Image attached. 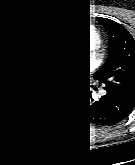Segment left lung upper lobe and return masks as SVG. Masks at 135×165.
I'll use <instances>...</instances> for the list:
<instances>
[{
    "mask_svg": "<svg viewBox=\"0 0 135 165\" xmlns=\"http://www.w3.org/2000/svg\"><path fill=\"white\" fill-rule=\"evenodd\" d=\"M107 34L108 57L95 74L105 89L120 93L135 104V40L119 23L98 18Z\"/></svg>",
    "mask_w": 135,
    "mask_h": 165,
    "instance_id": "obj_1",
    "label": "left lung upper lobe"
}]
</instances>
